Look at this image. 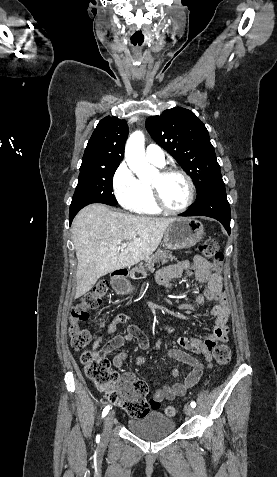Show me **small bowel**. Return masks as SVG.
Listing matches in <instances>:
<instances>
[{"label":"small bowel","mask_w":277,"mask_h":477,"mask_svg":"<svg viewBox=\"0 0 277 477\" xmlns=\"http://www.w3.org/2000/svg\"><path fill=\"white\" fill-rule=\"evenodd\" d=\"M193 269L198 283L205 286L203 295L206 299L216 302L211 310V315L215 317V323L211 332L203 334L201 337L196 335L191 336H175L180 348H172L168 350L167 354L170 358L192 367L190 373L186 376L183 382H175L171 385H164L155 390L153 400L161 402L164 399L173 400L176 397L183 396L188 389L193 387L200 380L204 365L194 357L191 352L201 354L206 361V368H212V351L218 342H225L228 334V319L229 306L227 296L222 288V281L218 273L214 270L210 262L202 256H195L192 262L182 261L162 267L157 272V280L163 285H170L173 279L179 278L188 270ZM202 296L193 293L192 299L180 305L181 309H193L201 304ZM130 318L126 314H118L107 327V335H113L118 325L129 322ZM168 333H173V329L165 326ZM104 341V336H98L93 343V350L97 351L99 346ZM134 342L140 349L146 350L149 348L148 338L135 325L130 324L127 332L124 334H117L112 336L99 350L103 356L119 349L125 342ZM162 340H158L155 345V351L160 349ZM128 354L126 351H120L113 359V365L120 368L127 360ZM137 365L146 363V357L139 356L136 358ZM170 374L174 378L180 376L178 369L173 368ZM135 379L132 373H125L122 377L123 383L131 382Z\"/></svg>","instance_id":"c3829d8e"}]
</instances>
